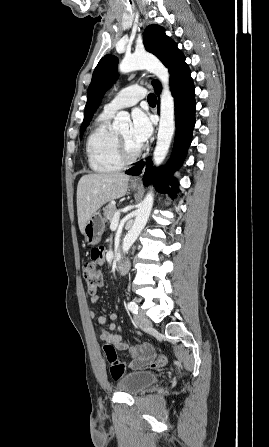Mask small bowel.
I'll use <instances>...</instances> for the list:
<instances>
[{"label": "small bowel", "instance_id": "c3829d8e", "mask_svg": "<svg viewBox=\"0 0 269 447\" xmlns=\"http://www.w3.org/2000/svg\"><path fill=\"white\" fill-rule=\"evenodd\" d=\"M99 301L98 296H92L91 302L93 304L97 303ZM91 317H96L95 311H90ZM117 320V315L115 313L109 314V317L100 315L97 317L98 324L101 326V329L99 331V337L102 341L110 342L114 345H116L120 350H128L129 346L123 341L122 337L116 333V331L120 330V327L113 323ZM107 326V328H105ZM148 347H153L151 344L147 343ZM135 347V346H132ZM132 361L130 363L131 368H135V365L139 361H149L150 357H157V354L155 353L154 356H131Z\"/></svg>", "mask_w": 269, "mask_h": 447}]
</instances>
